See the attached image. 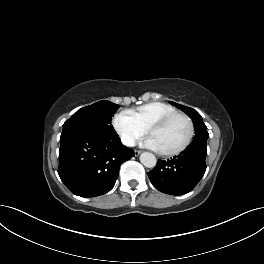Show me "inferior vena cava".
<instances>
[{
    "mask_svg": "<svg viewBox=\"0 0 264 264\" xmlns=\"http://www.w3.org/2000/svg\"><path fill=\"white\" fill-rule=\"evenodd\" d=\"M122 143L125 145V146H134L135 145V141L133 138L131 137H123L122 138Z\"/></svg>",
    "mask_w": 264,
    "mask_h": 264,
    "instance_id": "602c4592",
    "label": "inferior vena cava"
}]
</instances>
